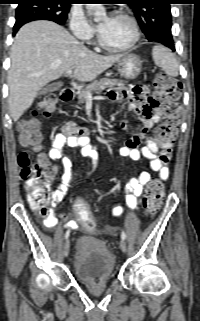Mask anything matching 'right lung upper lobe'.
Returning <instances> with one entry per match:
<instances>
[{
    "label": "right lung upper lobe",
    "mask_w": 200,
    "mask_h": 321,
    "mask_svg": "<svg viewBox=\"0 0 200 321\" xmlns=\"http://www.w3.org/2000/svg\"><path fill=\"white\" fill-rule=\"evenodd\" d=\"M19 1H24V0H19ZM63 1L73 2L74 0H63Z\"/></svg>",
    "instance_id": "1"
}]
</instances>
